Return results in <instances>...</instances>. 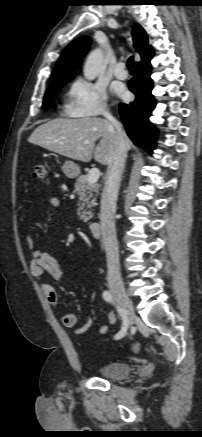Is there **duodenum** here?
<instances>
[{
  "mask_svg": "<svg viewBox=\"0 0 202 437\" xmlns=\"http://www.w3.org/2000/svg\"><path fill=\"white\" fill-rule=\"evenodd\" d=\"M101 224L97 221H93L89 223V231L90 234L94 237V238H99L101 235Z\"/></svg>",
  "mask_w": 202,
  "mask_h": 437,
  "instance_id": "obj_1",
  "label": "duodenum"
}]
</instances>
